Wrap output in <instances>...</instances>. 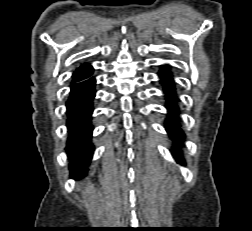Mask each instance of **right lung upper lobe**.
I'll return each mask as SVG.
<instances>
[{
    "instance_id": "cb5924a9",
    "label": "right lung upper lobe",
    "mask_w": 252,
    "mask_h": 231,
    "mask_svg": "<svg viewBox=\"0 0 252 231\" xmlns=\"http://www.w3.org/2000/svg\"><path fill=\"white\" fill-rule=\"evenodd\" d=\"M93 73V67L88 64H83L75 70L72 77V83L80 82L87 79Z\"/></svg>"
}]
</instances>
